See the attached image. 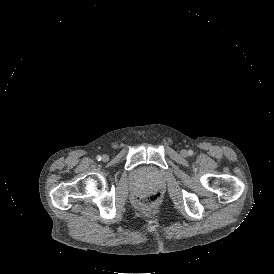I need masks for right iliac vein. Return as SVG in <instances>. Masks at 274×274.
Here are the masks:
<instances>
[{
	"mask_svg": "<svg viewBox=\"0 0 274 274\" xmlns=\"http://www.w3.org/2000/svg\"><path fill=\"white\" fill-rule=\"evenodd\" d=\"M108 159H109V157H108L107 154H104V155L102 156V161L106 162V161H108Z\"/></svg>",
	"mask_w": 274,
	"mask_h": 274,
	"instance_id": "63e3f726",
	"label": "right iliac vein"
}]
</instances>
